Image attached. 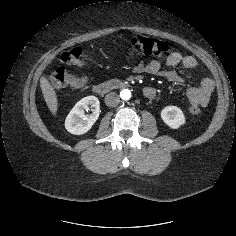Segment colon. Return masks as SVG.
I'll use <instances>...</instances> for the list:
<instances>
[{"label":"colon","mask_w":236,"mask_h":236,"mask_svg":"<svg viewBox=\"0 0 236 236\" xmlns=\"http://www.w3.org/2000/svg\"><path fill=\"white\" fill-rule=\"evenodd\" d=\"M131 45L148 56L161 57L168 52L167 44L147 37H134L131 40ZM83 60L84 52L79 47L67 50L61 55V61L67 65L80 66L83 63ZM48 80L50 85L56 89L68 87L78 88L86 83V76H75L64 68H57L49 74ZM190 111L193 114H198L200 112V107L191 106Z\"/></svg>","instance_id":"5ec220e1"}]
</instances>
